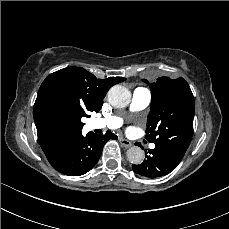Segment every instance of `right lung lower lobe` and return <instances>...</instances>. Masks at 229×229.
Segmentation results:
<instances>
[{"mask_svg": "<svg viewBox=\"0 0 229 229\" xmlns=\"http://www.w3.org/2000/svg\"><path fill=\"white\" fill-rule=\"evenodd\" d=\"M109 139H117V136L107 131L104 135L90 132L84 137L79 132L66 141L48 161L62 174L83 175L97 163Z\"/></svg>", "mask_w": 229, "mask_h": 229, "instance_id": "98d812e1", "label": "right lung lower lobe"}]
</instances>
